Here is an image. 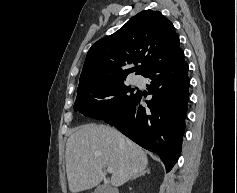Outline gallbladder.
Listing matches in <instances>:
<instances>
[{
    "instance_id": "gallbladder-1",
    "label": "gallbladder",
    "mask_w": 237,
    "mask_h": 193,
    "mask_svg": "<svg viewBox=\"0 0 237 193\" xmlns=\"http://www.w3.org/2000/svg\"><path fill=\"white\" fill-rule=\"evenodd\" d=\"M94 193H109V188L106 185H100L94 190Z\"/></svg>"
}]
</instances>
